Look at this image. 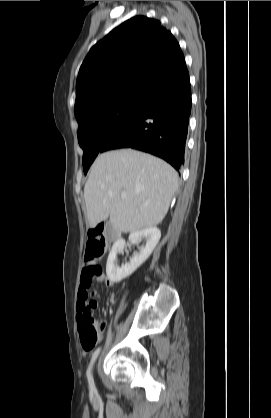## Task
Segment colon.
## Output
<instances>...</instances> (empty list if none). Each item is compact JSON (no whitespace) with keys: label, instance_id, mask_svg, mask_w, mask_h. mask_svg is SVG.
Masks as SVG:
<instances>
[{"label":"colon","instance_id":"5ec220e1","mask_svg":"<svg viewBox=\"0 0 271 418\" xmlns=\"http://www.w3.org/2000/svg\"><path fill=\"white\" fill-rule=\"evenodd\" d=\"M106 248V226L103 223H100L88 231V241L85 249V259L88 265V273L84 278L85 285L90 286L94 280H97V278L103 275L98 262L105 253ZM82 298L85 301L84 305H86V301L88 299L87 291L82 294ZM92 313L84 314L81 310L78 317L80 340L83 349L86 351L91 350L97 344L101 331L105 326L104 322L94 319Z\"/></svg>","mask_w":271,"mask_h":418}]
</instances>
